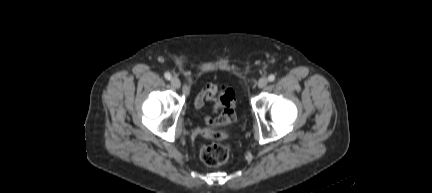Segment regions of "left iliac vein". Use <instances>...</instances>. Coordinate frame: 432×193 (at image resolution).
Instances as JSON below:
<instances>
[{
    "label": "left iliac vein",
    "mask_w": 432,
    "mask_h": 193,
    "mask_svg": "<svg viewBox=\"0 0 432 193\" xmlns=\"http://www.w3.org/2000/svg\"><path fill=\"white\" fill-rule=\"evenodd\" d=\"M267 83H268V79L266 77H262L258 81V87L264 88L267 85Z\"/></svg>",
    "instance_id": "left-iliac-vein-1"
}]
</instances>
